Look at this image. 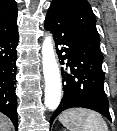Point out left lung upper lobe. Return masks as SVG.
I'll return each mask as SVG.
<instances>
[{"label":"left lung upper lobe","instance_id":"obj_1","mask_svg":"<svg viewBox=\"0 0 117 131\" xmlns=\"http://www.w3.org/2000/svg\"><path fill=\"white\" fill-rule=\"evenodd\" d=\"M51 7L67 13L83 45L103 60L96 18L89 3L86 0H53Z\"/></svg>","mask_w":117,"mask_h":131}]
</instances>
